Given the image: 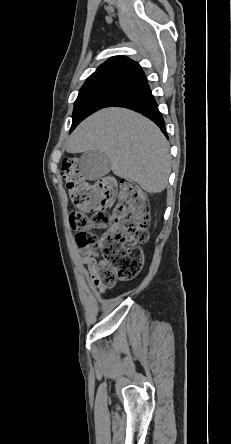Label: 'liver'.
I'll return each mask as SVG.
<instances>
[{"mask_svg":"<svg viewBox=\"0 0 231 444\" xmlns=\"http://www.w3.org/2000/svg\"><path fill=\"white\" fill-rule=\"evenodd\" d=\"M169 143L160 129L134 111L109 107L86 118L69 138V153L97 150L108 156L113 173L148 193L162 192L171 172Z\"/></svg>","mask_w":231,"mask_h":444,"instance_id":"liver-1","label":"liver"}]
</instances>
